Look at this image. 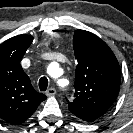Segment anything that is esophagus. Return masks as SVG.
Masks as SVG:
<instances>
[{"label": "esophagus", "mask_w": 133, "mask_h": 133, "mask_svg": "<svg viewBox=\"0 0 133 133\" xmlns=\"http://www.w3.org/2000/svg\"><path fill=\"white\" fill-rule=\"evenodd\" d=\"M56 94V90L54 88H49L47 91H46V95L47 96H53Z\"/></svg>", "instance_id": "1"}]
</instances>
